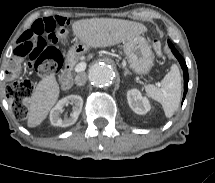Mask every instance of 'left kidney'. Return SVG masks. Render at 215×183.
Instances as JSON below:
<instances>
[{
	"mask_svg": "<svg viewBox=\"0 0 215 183\" xmlns=\"http://www.w3.org/2000/svg\"><path fill=\"white\" fill-rule=\"evenodd\" d=\"M127 100L130 108L136 114L144 115L150 110L148 99L143 97L137 89H132L127 92Z\"/></svg>",
	"mask_w": 215,
	"mask_h": 183,
	"instance_id": "5707ae66",
	"label": "left kidney"
}]
</instances>
